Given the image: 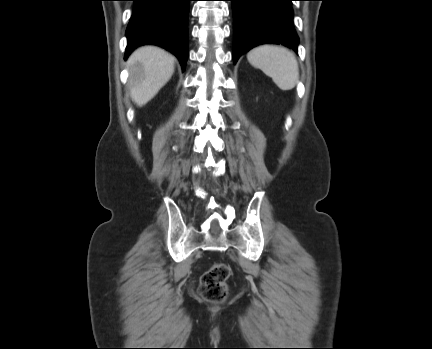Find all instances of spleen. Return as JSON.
Segmentation results:
<instances>
[{"label": "spleen", "instance_id": "obj_1", "mask_svg": "<svg viewBox=\"0 0 432 349\" xmlns=\"http://www.w3.org/2000/svg\"><path fill=\"white\" fill-rule=\"evenodd\" d=\"M249 63L271 77L283 91L295 87L299 79V67L295 55L285 47L262 45L249 51Z\"/></svg>", "mask_w": 432, "mask_h": 349}]
</instances>
